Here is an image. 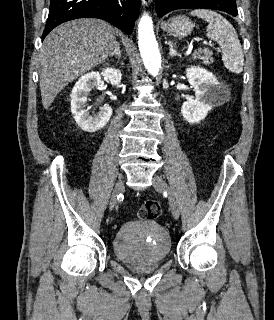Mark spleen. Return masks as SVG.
<instances>
[{"label":"spleen","mask_w":274,"mask_h":320,"mask_svg":"<svg viewBox=\"0 0 274 320\" xmlns=\"http://www.w3.org/2000/svg\"><path fill=\"white\" fill-rule=\"evenodd\" d=\"M190 16H197L208 22L207 34L210 40H215L219 44L223 54L222 60L225 68L234 74H241L244 66V54L238 36L225 18L211 10H193Z\"/></svg>","instance_id":"spleen-1"}]
</instances>
